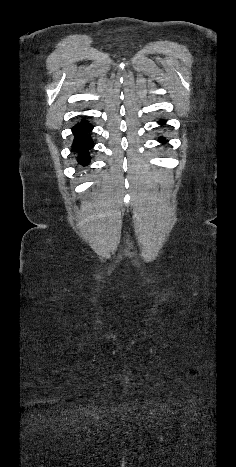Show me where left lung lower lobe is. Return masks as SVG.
<instances>
[{"label":"left lung lower lobe","instance_id":"obj_1","mask_svg":"<svg viewBox=\"0 0 236 467\" xmlns=\"http://www.w3.org/2000/svg\"><path fill=\"white\" fill-rule=\"evenodd\" d=\"M164 123H165L164 120H160V121H159V124H164ZM159 141L163 143V142H165V139L162 138V137H160V138H159Z\"/></svg>","mask_w":236,"mask_h":467}]
</instances>
